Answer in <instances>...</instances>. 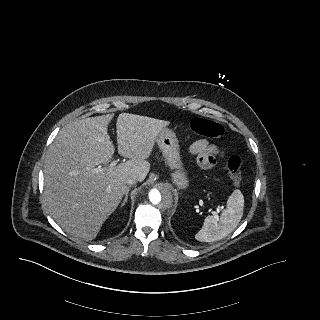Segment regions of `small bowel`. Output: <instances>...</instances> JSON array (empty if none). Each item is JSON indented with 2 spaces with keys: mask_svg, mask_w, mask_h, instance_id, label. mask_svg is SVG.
I'll use <instances>...</instances> for the list:
<instances>
[{
  "mask_svg": "<svg viewBox=\"0 0 320 320\" xmlns=\"http://www.w3.org/2000/svg\"><path fill=\"white\" fill-rule=\"evenodd\" d=\"M189 152L197 157L199 165L204 169L214 167L218 157L223 153L217 145L206 139H200L192 143Z\"/></svg>",
  "mask_w": 320,
  "mask_h": 320,
  "instance_id": "small-bowel-1",
  "label": "small bowel"
}]
</instances>
